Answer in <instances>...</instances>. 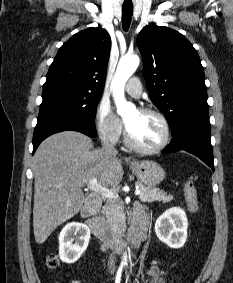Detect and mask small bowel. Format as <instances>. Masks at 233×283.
Instances as JSON below:
<instances>
[{"instance_id": "1", "label": "small bowel", "mask_w": 233, "mask_h": 283, "mask_svg": "<svg viewBox=\"0 0 233 283\" xmlns=\"http://www.w3.org/2000/svg\"><path fill=\"white\" fill-rule=\"evenodd\" d=\"M142 220L145 221L148 224V217L147 214L141 209V208H137L134 214V218H133V223L137 222L138 220ZM149 274L152 277V280L150 283H165V280L161 274L160 269L158 268V266L155 265L150 269Z\"/></svg>"}]
</instances>
